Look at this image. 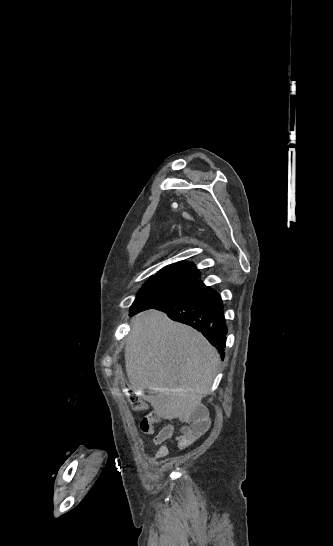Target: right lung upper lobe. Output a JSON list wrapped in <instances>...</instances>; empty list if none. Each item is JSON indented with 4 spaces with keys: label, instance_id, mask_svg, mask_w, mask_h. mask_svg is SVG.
Wrapping results in <instances>:
<instances>
[{
    "label": "right lung upper lobe",
    "instance_id": "cb5924a9",
    "mask_svg": "<svg viewBox=\"0 0 333 546\" xmlns=\"http://www.w3.org/2000/svg\"><path fill=\"white\" fill-rule=\"evenodd\" d=\"M156 275L171 276L175 278H181L186 280H198L200 272L193 263L190 262H178L170 266H166L159 271Z\"/></svg>",
    "mask_w": 333,
    "mask_h": 546
}]
</instances>
